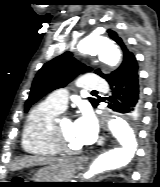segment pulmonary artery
I'll use <instances>...</instances> for the list:
<instances>
[{"mask_svg":"<svg viewBox=\"0 0 160 187\" xmlns=\"http://www.w3.org/2000/svg\"><path fill=\"white\" fill-rule=\"evenodd\" d=\"M79 85L85 91H103L108 88L107 83L99 76L94 74L84 75L81 77L79 80ZM68 97V90L62 88L52 92L48 96L47 101L59 109L64 110L68 102Z\"/></svg>","mask_w":160,"mask_h":187,"instance_id":"1","label":"pulmonary artery"}]
</instances>
